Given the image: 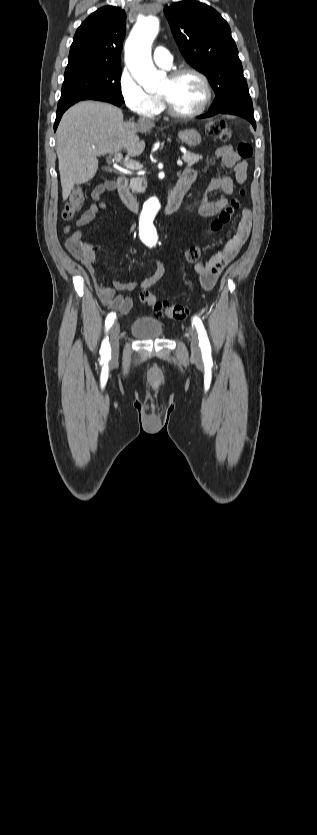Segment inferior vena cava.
I'll return each instance as SVG.
<instances>
[{
  "label": "inferior vena cava",
  "mask_w": 317,
  "mask_h": 835,
  "mask_svg": "<svg viewBox=\"0 0 317 835\" xmlns=\"http://www.w3.org/2000/svg\"><path fill=\"white\" fill-rule=\"evenodd\" d=\"M139 124L147 126V125H152V122H150L149 120H147L145 118H140Z\"/></svg>",
  "instance_id": "inferior-vena-cava-1"
}]
</instances>
